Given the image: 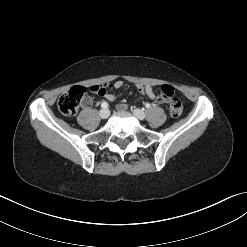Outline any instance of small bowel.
Returning <instances> with one entry per match:
<instances>
[{"label":"small bowel","mask_w":247,"mask_h":247,"mask_svg":"<svg viewBox=\"0 0 247 247\" xmlns=\"http://www.w3.org/2000/svg\"><path fill=\"white\" fill-rule=\"evenodd\" d=\"M148 85V84H147ZM97 85H94L92 87H96ZM150 86V85H149ZM123 87V81L122 80H117L115 81L110 88L103 87L99 90H93V92L97 93L98 95L105 97L109 101H115L117 99V95L112 92L110 89H114L115 91L119 92ZM169 99V98H168ZM155 101V99H152ZM168 101V100H167ZM85 106H89L91 104V100L87 98L84 102ZM126 104L122 103L118 106L119 110H124L126 109Z\"/></svg>","instance_id":"obj_1"}]
</instances>
